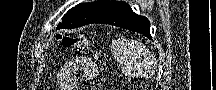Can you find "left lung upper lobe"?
<instances>
[{
    "instance_id": "1",
    "label": "left lung upper lobe",
    "mask_w": 216,
    "mask_h": 90,
    "mask_svg": "<svg viewBox=\"0 0 216 90\" xmlns=\"http://www.w3.org/2000/svg\"><path fill=\"white\" fill-rule=\"evenodd\" d=\"M124 5L125 3L123 2L109 0H99L76 5L62 17V23H59L57 29H72L92 24Z\"/></svg>"
}]
</instances>
